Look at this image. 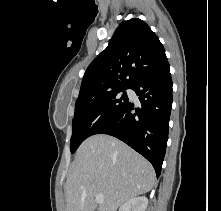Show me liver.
<instances>
[{
  "mask_svg": "<svg viewBox=\"0 0 221 211\" xmlns=\"http://www.w3.org/2000/svg\"><path fill=\"white\" fill-rule=\"evenodd\" d=\"M152 165L122 141L105 134L86 139L78 148L66 181V211H116L123 203L155 186Z\"/></svg>",
  "mask_w": 221,
  "mask_h": 211,
  "instance_id": "1",
  "label": "liver"
}]
</instances>
